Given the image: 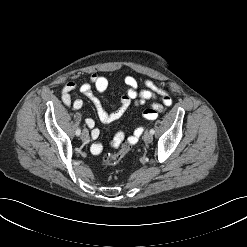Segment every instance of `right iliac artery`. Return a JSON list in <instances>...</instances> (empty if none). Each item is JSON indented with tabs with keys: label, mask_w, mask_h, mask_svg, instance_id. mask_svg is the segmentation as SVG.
I'll list each match as a JSON object with an SVG mask.
<instances>
[{
	"label": "right iliac artery",
	"mask_w": 247,
	"mask_h": 247,
	"mask_svg": "<svg viewBox=\"0 0 247 247\" xmlns=\"http://www.w3.org/2000/svg\"><path fill=\"white\" fill-rule=\"evenodd\" d=\"M80 133H81V130H80V128H78V129L76 130V135L79 136Z\"/></svg>",
	"instance_id": "1"
}]
</instances>
